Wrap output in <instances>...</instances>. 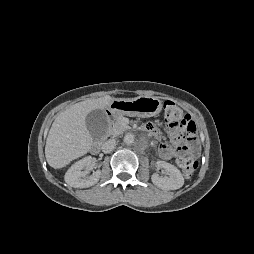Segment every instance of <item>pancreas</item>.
<instances>
[{"mask_svg": "<svg viewBox=\"0 0 254 254\" xmlns=\"http://www.w3.org/2000/svg\"><path fill=\"white\" fill-rule=\"evenodd\" d=\"M129 127L123 123V117L120 115L112 123L109 133L113 136H118L126 131Z\"/></svg>", "mask_w": 254, "mask_h": 254, "instance_id": "pancreas-1", "label": "pancreas"}]
</instances>
